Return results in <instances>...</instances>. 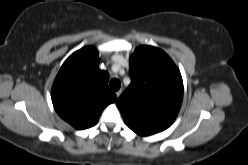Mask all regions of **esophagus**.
I'll return each instance as SVG.
<instances>
[{
  "mask_svg": "<svg viewBox=\"0 0 248 165\" xmlns=\"http://www.w3.org/2000/svg\"><path fill=\"white\" fill-rule=\"evenodd\" d=\"M115 94H116L117 97H119L122 94V90L120 89V90L116 91Z\"/></svg>",
  "mask_w": 248,
  "mask_h": 165,
  "instance_id": "1",
  "label": "esophagus"
}]
</instances>
